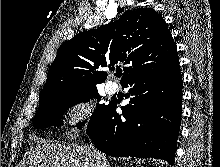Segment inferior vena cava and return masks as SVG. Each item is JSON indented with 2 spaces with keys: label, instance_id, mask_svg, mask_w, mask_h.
<instances>
[{
  "label": "inferior vena cava",
  "instance_id": "602c4592",
  "mask_svg": "<svg viewBox=\"0 0 220 167\" xmlns=\"http://www.w3.org/2000/svg\"><path fill=\"white\" fill-rule=\"evenodd\" d=\"M89 148L93 150L96 167H110L107 162V159L94 148L93 144H90Z\"/></svg>",
  "mask_w": 220,
  "mask_h": 167
}]
</instances>
